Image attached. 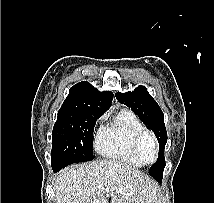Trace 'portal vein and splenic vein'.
<instances>
[{
    "instance_id": "obj_1",
    "label": "portal vein and splenic vein",
    "mask_w": 214,
    "mask_h": 203,
    "mask_svg": "<svg viewBox=\"0 0 214 203\" xmlns=\"http://www.w3.org/2000/svg\"><path fill=\"white\" fill-rule=\"evenodd\" d=\"M106 191H109V189H108V188H106Z\"/></svg>"
}]
</instances>
